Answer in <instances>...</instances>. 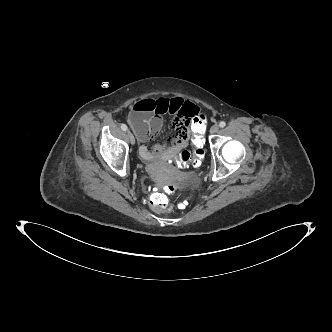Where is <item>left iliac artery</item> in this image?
I'll use <instances>...</instances> for the list:
<instances>
[{"label":"left iliac artery","instance_id":"left-iliac-artery-1","mask_svg":"<svg viewBox=\"0 0 332 332\" xmlns=\"http://www.w3.org/2000/svg\"><path fill=\"white\" fill-rule=\"evenodd\" d=\"M219 126H220L221 128H223V127L226 126V123H225L224 121H221V122L219 123Z\"/></svg>","mask_w":332,"mask_h":332}]
</instances>
